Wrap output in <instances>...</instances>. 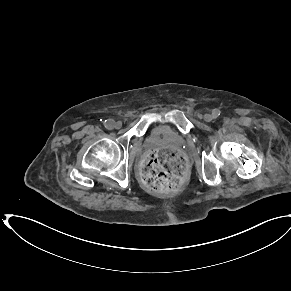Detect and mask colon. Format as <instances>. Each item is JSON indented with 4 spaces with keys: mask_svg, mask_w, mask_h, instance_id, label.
<instances>
[{
    "mask_svg": "<svg viewBox=\"0 0 291 291\" xmlns=\"http://www.w3.org/2000/svg\"><path fill=\"white\" fill-rule=\"evenodd\" d=\"M185 169L184 157L174 149L149 153L141 166V179L150 190L159 193L174 191L180 184Z\"/></svg>",
    "mask_w": 291,
    "mask_h": 291,
    "instance_id": "obj_1",
    "label": "colon"
}]
</instances>
